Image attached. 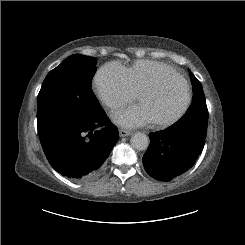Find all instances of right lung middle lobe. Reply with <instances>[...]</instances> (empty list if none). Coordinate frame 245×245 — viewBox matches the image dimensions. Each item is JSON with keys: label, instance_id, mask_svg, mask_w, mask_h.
<instances>
[{"label": "right lung middle lobe", "instance_id": "dd1d6c3e", "mask_svg": "<svg viewBox=\"0 0 245 245\" xmlns=\"http://www.w3.org/2000/svg\"><path fill=\"white\" fill-rule=\"evenodd\" d=\"M95 64L90 56L74 54L48 73L37 97L39 134L101 111L91 91Z\"/></svg>", "mask_w": 245, "mask_h": 245}]
</instances>
